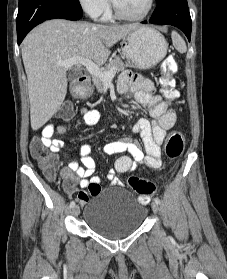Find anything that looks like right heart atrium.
<instances>
[{
	"mask_svg": "<svg viewBox=\"0 0 227 279\" xmlns=\"http://www.w3.org/2000/svg\"><path fill=\"white\" fill-rule=\"evenodd\" d=\"M81 7L93 17H99L109 9V0H78Z\"/></svg>",
	"mask_w": 227,
	"mask_h": 279,
	"instance_id": "d8ad5b80",
	"label": "right heart atrium"
}]
</instances>
